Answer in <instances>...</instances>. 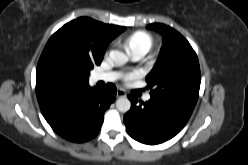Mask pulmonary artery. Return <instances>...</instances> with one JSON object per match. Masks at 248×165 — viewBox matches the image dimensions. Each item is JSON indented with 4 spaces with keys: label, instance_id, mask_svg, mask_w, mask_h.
Wrapping results in <instances>:
<instances>
[{
    "label": "pulmonary artery",
    "instance_id": "1",
    "mask_svg": "<svg viewBox=\"0 0 248 165\" xmlns=\"http://www.w3.org/2000/svg\"><path fill=\"white\" fill-rule=\"evenodd\" d=\"M148 51L144 48L136 49L131 52V57L134 60H139L146 55ZM119 77V74L116 72H98L93 76L94 81H105V82H113ZM151 98L150 94H146L144 96L145 101H149Z\"/></svg>",
    "mask_w": 248,
    "mask_h": 165
}]
</instances>
